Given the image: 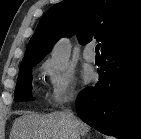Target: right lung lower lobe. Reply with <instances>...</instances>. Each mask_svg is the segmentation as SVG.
Segmentation results:
<instances>
[{
    "label": "right lung lower lobe",
    "mask_w": 141,
    "mask_h": 139,
    "mask_svg": "<svg viewBox=\"0 0 141 139\" xmlns=\"http://www.w3.org/2000/svg\"><path fill=\"white\" fill-rule=\"evenodd\" d=\"M99 82L76 100L79 117L118 139H141V34L102 52Z\"/></svg>",
    "instance_id": "1"
}]
</instances>
